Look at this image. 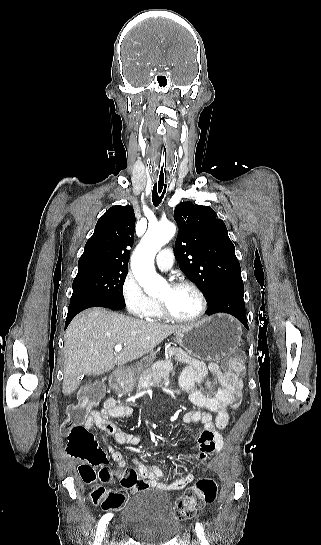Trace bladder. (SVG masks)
Instances as JSON below:
<instances>
[{"mask_svg": "<svg viewBox=\"0 0 321 545\" xmlns=\"http://www.w3.org/2000/svg\"><path fill=\"white\" fill-rule=\"evenodd\" d=\"M123 529L143 545H163L179 530L171 499L165 490L138 491L121 514Z\"/></svg>", "mask_w": 321, "mask_h": 545, "instance_id": "1", "label": "bladder"}]
</instances>
